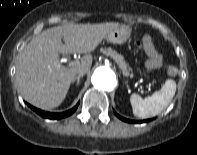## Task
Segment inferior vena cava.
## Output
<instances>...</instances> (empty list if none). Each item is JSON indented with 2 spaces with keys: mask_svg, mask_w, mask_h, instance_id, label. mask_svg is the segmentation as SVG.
<instances>
[{
  "mask_svg": "<svg viewBox=\"0 0 197 155\" xmlns=\"http://www.w3.org/2000/svg\"><path fill=\"white\" fill-rule=\"evenodd\" d=\"M88 71H89L88 68H80V69L77 71V75H78V76H83V75H85Z\"/></svg>",
  "mask_w": 197,
  "mask_h": 155,
  "instance_id": "602c4592",
  "label": "inferior vena cava"
}]
</instances>
